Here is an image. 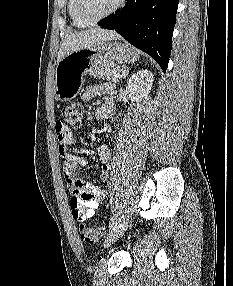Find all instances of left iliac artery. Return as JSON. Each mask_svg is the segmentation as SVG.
Masks as SVG:
<instances>
[{
    "label": "left iliac artery",
    "mask_w": 233,
    "mask_h": 286,
    "mask_svg": "<svg viewBox=\"0 0 233 286\" xmlns=\"http://www.w3.org/2000/svg\"><path fill=\"white\" fill-rule=\"evenodd\" d=\"M117 223V216H113L109 223V228H112Z\"/></svg>",
    "instance_id": "1"
}]
</instances>
